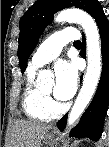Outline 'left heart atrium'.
Returning a JSON list of instances; mask_svg holds the SVG:
<instances>
[{
    "mask_svg": "<svg viewBox=\"0 0 109 147\" xmlns=\"http://www.w3.org/2000/svg\"><path fill=\"white\" fill-rule=\"evenodd\" d=\"M78 71L73 61L61 60L55 65L54 96L59 100H68L75 94Z\"/></svg>",
    "mask_w": 109,
    "mask_h": 147,
    "instance_id": "1",
    "label": "left heart atrium"
}]
</instances>
